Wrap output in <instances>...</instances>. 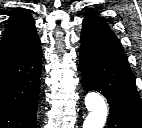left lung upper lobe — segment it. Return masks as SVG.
<instances>
[{
	"instance_id": "1",
	"label": "left lung upper lobe",
	"mask_w": 142,
	"mask_h": 128,
	"mask_svg": "<svg viewBox=\"0 0 142 128\" xmlns=\"http://www.w3.org/2000/svg\"><path fill=\"white\" fill-rule=\"evenodd\" d=\"M84 22L90 24L91 26L95 27L96 29L109 34V35H114L112 30L109 28V26L99 17H97L96 12H89L84 19Z\"/></svg>"
}]
</instances>
